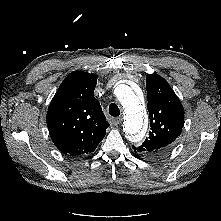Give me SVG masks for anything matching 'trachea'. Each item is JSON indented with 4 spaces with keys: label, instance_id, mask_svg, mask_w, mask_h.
<instances>
[{
    "label": "trachea",
    "instance_id": "1",
    "mask_svg": "<svg viewBox=\"0 0 221 221\" xmlns=\"http://www.w3.org/2000/svg\"><path fill=\"white\" fill-rule=\"evenodd\" d=\"M109 113H110V115L113 116V117H117V116L120 115V110H119L117 104L111 103V104L109 105Z\"/></svg>",
    "mask_w": 221,
    "mask_h": 221
}]
</instances>
